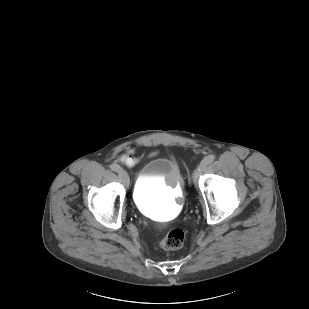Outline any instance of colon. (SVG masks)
<instances>
[{"label":"colon","instance_id":"obj_1","mask_svg":"<svg viewBox=\"0 0 309 309\" xmlns=\"http://www.w3.org/2000/svg\"><path fill=\"white\" fill-rule=\"evenodd\" d=\"M185 234L183 230L175 228L170 230L161 240L160 246L165 250H175L183 245Z\"/></svg>","mask_w":309,"mask_h":309}]
</instances>
